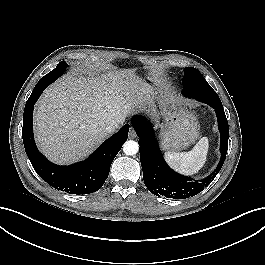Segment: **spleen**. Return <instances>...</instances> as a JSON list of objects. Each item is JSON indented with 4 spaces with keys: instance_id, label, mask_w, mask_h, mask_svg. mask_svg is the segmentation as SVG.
<instances>
[{
    "instance_id": "3e777b00",
    "label": "spleen",
    "mask_w": 265,
    "mask_h": 265,
    "mask_svg": "<svg viewBox=\"0 0 265 265\" xmlns=\"http://www.w3.org/2000/svg\"><path fill=\"white\" fill-rule=\"evenodd\" d=\"M208 148V138L202 137L191 151L182 153L168 151L164 157L174 170L185 175H193L204 166Z\"/></svg>"
}]
</instances>
